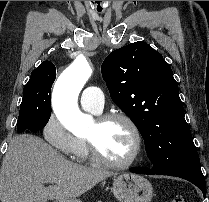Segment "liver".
<instances>
[{
	"label": "liver",
	"mask_w": 209,
	"mask_h": 202,
	"mask_svg": "<svg viewBox=\"0 0 209 202\" xmlns=\"http://www.w3.org/2000/svg\"><path fill=\"white\" fill-rule=\"evenodd\" d=\"M112 175L68 161L40 137L10 141L0 171L1 202H47L79 197ZM48 178L56 185L45 187Z\"/></svg>",
	"instance_id": "liver-1"
}]
</instances>
